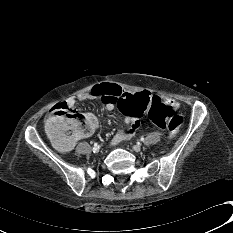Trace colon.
<instances>
[{
	"instance_id": "colon-1",
	"label": "colon",
	"mask_w": 233,
	"mask_h": 233,
	"mask_svg": "<svg viewBox=\"0 0 233 233\" xmlns=\"http://www.w3.org/2000/svg\"><path fill=\"white\" fill-rule=\"evenodd\" d=\"M92 95L96 101L117 107L123 114L132 117H139L148 110L149 121L166 129L170 135H176L183 122L182 116L176 113V105H164L147 89L130 92L113 83L100 82L94 86ZM94 127L92 116L78 113L66 104L54 106L47 122V130L55 140H61V137L81 139L91 134Z\"/></svg>"
}]
</instances>
